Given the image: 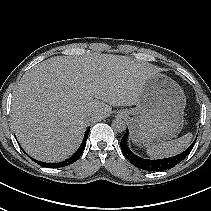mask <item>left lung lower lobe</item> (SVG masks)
Masks as SVG:
<instances>
[{
    "instance_id": "obj_1",
    "label": "left lung lower lobe",
    "mask_w": 211,
    "mask_h": 211,
    "mask_svg": "<svg viewBox=\"0 0 211 211\" xmlns=\"http://www.w3.org/2000/svg\"><path fill=\"white\" fill-rule=\"evenodd\" d=\"M128 134H129V130L127 129L125 135L121 139V150L124 156L135 167L139 169L147 170V171H163V170H167L174 167L175 165L179 164L182 160L186 158V156L189 154V152L194 147L195 142H196V139H195L194 142L190 145V147L179 155L165 158V159H159V160H148V159L140 158L130 151V149L127 146Z\"/></svg>"
}]
</instances>
